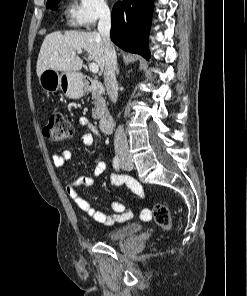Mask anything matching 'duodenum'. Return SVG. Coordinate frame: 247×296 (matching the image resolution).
Wrapping results in <instances>:
<instances>
[{
    "mask_svg": "<svg viewBox=\"0 0 247 296\" xmlns=\"http://www.w3.org/2000/svg\"><path fill=\"white\" fill-rule=\"evenodd\" d=\"M85 87L88 92L96 95H101L105 91L103 83L95 79H87L85 81ZM99 124L103 133L110 132L113 126L112 115L108 113L101 115Z\"/></svg>",
    "mask_w": 247,
    "mask_h": 296,
    "instance_id": "1",
    "label": "duodenum"
}]
</instances>
